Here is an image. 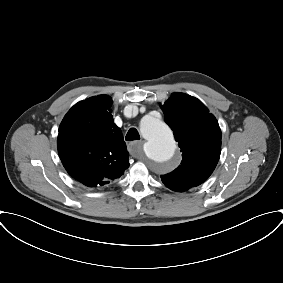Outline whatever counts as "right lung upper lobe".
Returning <instances> with one entry per match:
<instances>
[{"label": "right lung upper lobe", "mask_w": 283, "mask_h": 283, "mask_svg": "<svg viewBox=\"0 0 283 283\" xmlns=\"http://www.w3.org/2000/svg\"><path fill=\"white\" fill-rule=\"evenodd\" d=\"M112 100L99 95L80 101L59 128L58 152L68 173L86 186H103L128 168L126 144L109 112Z\"/></svg>", "instance_id": "right-lung-upper-lobe-1"}]
</instances>
